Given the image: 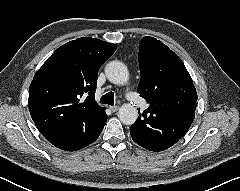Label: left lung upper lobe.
<instances>
[{"mask_svg":"<svg viewBox=\"0 0 240 191\" xmlns=\"http://www.w3.org/2000/svg\"><path fill=\"white\" fill-rule=\"evenodd\" d=\"M141 81L138 93L149 103L143 113L150 122L183 136L195 117L197 93L181 59L153 37L139 45ZM150 126V125H149Z\"/></svg>","mask_w":240,"mask_h":191,"instance_id":"left-lung-upper-lobe-1","label":"left lung upper lobe"}]
</instances>
